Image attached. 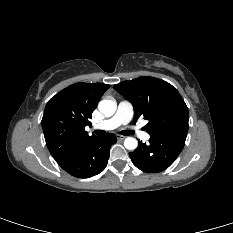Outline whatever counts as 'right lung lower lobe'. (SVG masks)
<instances>
[{"label": "right lung lower lobe", "instance_id": "1", "mask_svg": "<svg viewBox=\"0 0 233 233\" xmlns=\"http://www.w3.org/2000/svg\"><path fill=\"white\" fill-rule=\"evenodd\" d=\"M116 142L114 134L96 137L66 163L62 169L78 178H88L104 170L109 159L111 145Z\"/></svg>", "mask_w": 233, "mask_h": 233}]
</instances>
